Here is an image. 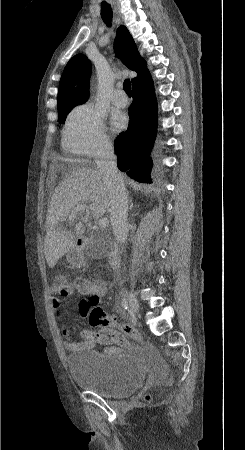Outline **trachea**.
<instances>
[{
    "label": "trachea",
    "mask_w": 245,
    "mask_h": 450,
    "mask_svg": "<svg viewBox=\"0 0 245 450\" xmlns=\"http://www.w3.org/2000/svg\"><path fill=\"white\" fill-rule=\"evenodd\" d=\"M101 16L103 21L108 25L111 26V21H112V10L110 5L107 2H102L101 4ZM123 87L125 92L128 95H131V83L129 79H126L123 83Z\"/></svg>",
    "instance_id": "1"
}]
</instances>
